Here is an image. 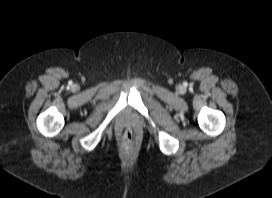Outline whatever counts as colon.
Masks as SVG:
<instances>
[{
    "label": "colon",
    "instance_id": "obj_1",
    "mask_svg": "<svg viewBox=\"0 0 272 198\" xmlns=\"http://www.w3.org/2000/svg\"><path fill=\"white\" fill-rule=\"evenodd\" d=\"M134 139V133L132 131V129L127 128L125 129V131L123 132L122 135V141L124 144L129 145L133 142Z\"/></svg>",
    "mask_w": 272,
    "mask_h": 198
}]
</instances>
